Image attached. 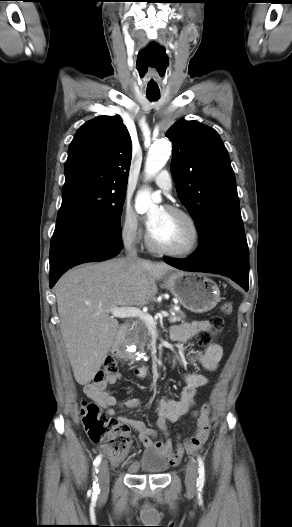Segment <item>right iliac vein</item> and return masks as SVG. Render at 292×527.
Wrapping results in <instances>:
<instances>
[{"instance_id":"1","label":"right iliac vein","mask_w":292,"mask_h":527,"mask_svg":"<svg viewBox=\"0 0 292 527\" xmlns=\"http://www.w3.org/2000/svg\"><path fill=\"white\" fill-rule=\"evenodd\" d=\"M99 484L102 492H106L109 487V470L106 462H103L98 469Z\"/></svg>"}]
</instances>
